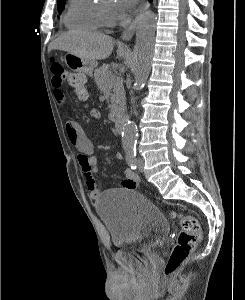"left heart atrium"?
I'll return each mask as SVG.
<instances>
[{
    "label": "left heart atrium",
    "mask_w": 245,
    "mask_h": 300,
    "mask_svg": "<svg viewBox=\"0 0 245 300\" xmlns=\"http://www.w3.org/2000/svg\"><path fill=\"white\" fill-rule=\"evenodd\" d=\"M140 0H120V4L122 6V11L120 16L125 15L128 11L133 9V7L139 2Z\"/></svg>",
    "instance_id": "39dd6f15"
}]
</instances>
